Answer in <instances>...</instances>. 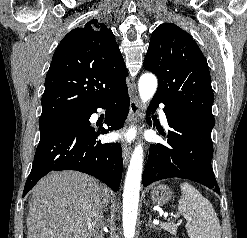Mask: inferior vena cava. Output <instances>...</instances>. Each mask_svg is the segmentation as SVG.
<instances>
[{"label": "inferior vena cava", "instance_id": "obj_1", "mask_svg": "<svg viewBox=\"0 0 247 238\" xmlns=\"http://www.w3.org/2000/svg\"><path fill=\"white\" fill-rule=\"evenodd\" d=\"M104 199L98 195L88 206L86 225L92 238H104Z\"/></svg>", "mask_w": 247, "mask_h": 238}]
</instances>
